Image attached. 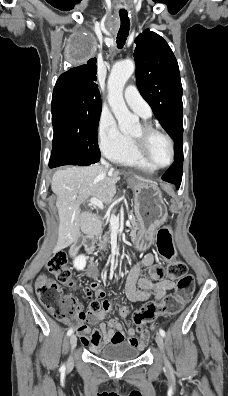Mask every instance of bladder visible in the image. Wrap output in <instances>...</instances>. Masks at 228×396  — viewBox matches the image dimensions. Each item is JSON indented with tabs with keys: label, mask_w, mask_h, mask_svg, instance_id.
<instances>
[{
	"label": "bladder",
	"mask_w": 228,
	"mask_h": 396,
	"mask_svg": "<svg viewBox=\"0 0 228 396\" xmlns=\"http://www.w3.org/2000/svg\"><path fill=\"white\" fill-rule=\"evenodd\" d=\"M106 361L127 362L135 360L141 354V348L127 341L109 343L94 352Z\"/></svg>",
	"instance_id": "1"
}]
</instances>
